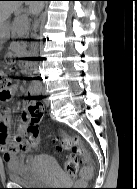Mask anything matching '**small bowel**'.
Returning <instances> with one entry per match:
<instances>
[{"instance_id": "1", "label": "small bowel", "mask_w": 137, "mask_h": 189, "mask_svg": "<svg viewBox=\"0 0 137 189\" xmlns=\"http://www.w3.org/2000/svg\"><path fill=\"white\" fill-rule=\"evenodd\" d=\"M28 95H33V89L29 88ZM0 99V102H4ZM32 103L31 101L26 103ZM12 112L10 109L0 107V150L2 152L4 163L8 170L18 171L22 167L27 166L31 160V156H25L29 152V147L22 142L24 126L28 124L26 119L25 108L21 114L22 126L13 136L9 133Z\"/></svg>"}]
</instances>
